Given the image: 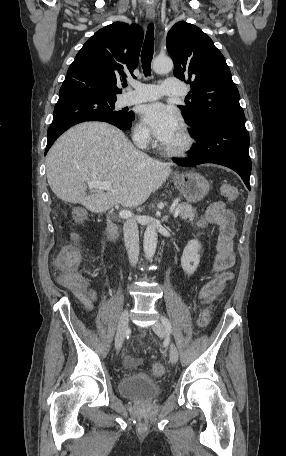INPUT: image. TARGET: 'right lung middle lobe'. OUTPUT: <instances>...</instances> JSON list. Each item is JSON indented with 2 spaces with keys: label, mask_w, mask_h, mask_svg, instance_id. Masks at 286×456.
Segmentation results:
<instances>
[{
  "label": "right lung middle lobe",
  "mask_w": 286,
  "mask_h": 456,
  "mask_svg": "<svg viewBox=\"0 0 286 456\" xmlns=\"http://www.w3.org/2000/svg\"><path fill=\"white\" fill-rule=\"evenodd\" d=\"M116 100H107L105 103L104 108L102 109V114L106 116L109 119H114V120H127L129 119L133 113L128 112L126 110L122 111H116L114 110V103Z\"/></svg>",
  "instance_id": "obj_1"
}]
</instances>
